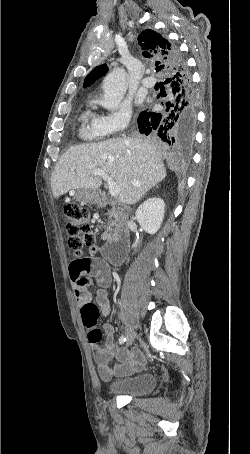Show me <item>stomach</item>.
<instances>
[{"label":"stomach","instance_id":"0dacf381","mask_svg":"<svg viewBox=\"0 0 250 454\" xmlns=\"http://www.w3.org/2000/svg\"><path fill=\"white\" fill-rule=\"evenodd\" d=\"M76 197L79 201L88 203V204H96L99 202V193L97 190L93 189H81L78 190Z\"/></svg>","mask_w":250,"mask_h":454}]
</instances>
